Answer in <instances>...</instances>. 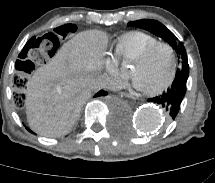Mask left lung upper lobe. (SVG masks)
Instances as JSON below:
<instances>
[{
  "label": "left lung upper lobe",
  "mask_w": 215,
  "mask_h": 183,
  "mask_svg": "<svg viewBox=\"0 0 215 183\" xmlns=\"http://www.w3.org/2000/svg\"><path fill=\"white\" fill-rule=\"evenodd\" d=\"M128 25L148 30L151 33L161 37L166 42H168L176 51L178 55V60L182 63L181 68L177 69L176 76L180 74L189 75L188 59L183 44L179 42L176 36L170 30H168L163 24L156 20L143 19L138 21H132Z\"/></svg>",
  "instance_id": "1"
}]
</instances>
